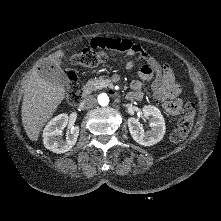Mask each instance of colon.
I'll return each instance as SVG.
<instances>
[{
  "instance_id": "5ec220e1",
  "label": "colon",
  "mask_w": 221,
  "mask_h": 221,
  "mask_svg": "<svg viewBox=\"0 0 221 221\" xmlns=\"http://www.w3.org/2000/svg\"><path fill=\"white\" fill-rule=\"evenodd\" d=\"M108 59V54L105 51H96L93 48H87L79 53L72 55L71 63L73 65L95 67L104 63ZM81 89L78 83V78L74 73H69L66 99L70 105H76L81 100ZM195 115V106L191 102L184 105L183 115L178 120L176 128L171 132L170 138L174 142L182 141L192 128Z\"/></svg>"
}]
</instances>
